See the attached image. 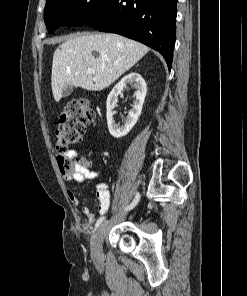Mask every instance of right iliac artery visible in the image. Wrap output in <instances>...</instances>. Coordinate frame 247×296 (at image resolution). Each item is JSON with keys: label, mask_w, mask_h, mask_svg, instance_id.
<instances>
[{"label": "right iliac artery", "mask_w": 247, "mask_h": 296, "mask_svg": "<svg viewBox=\"0 0 247 296\" xmlns=\"http://www.w3.org/2000/svg\"><path fill=\"white\" fill-rule=\"evenodd\" d=\"M139 199H140V194L137 193L134 200H133V202L128 207H126L125 210L127 211V210H130V209H133L137 205V203L139 202ZM104 221H105V217L104 216L100 217L98 219V221L96 222L95 227L96 228L99 227Z\"/></svg>", "instance_id": "82829eb1"}]
</instances>
